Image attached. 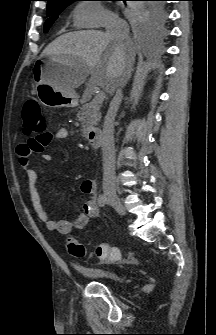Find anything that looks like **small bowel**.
Listing matches in <instances>:
<instances>
[{"label":"small bowel","mask_w":216,"mask_h":335,"mask_svg":"<svg viewBox=\"0 0 216 335\" xmlns=\"http://www.w3.org/2000/svg\"><path fill=\"white\" fill-rule=\"evenodd\" d=\"M68 137V130L65 127H60L55 133L50 134L46 144L50 141L66 140ZM17 154L20 164L26 173L30 203L39 220L42 221L50 231L67 235L73 229H84L91 219H95L99 216L100 208L96 198V183L93 179H85L81 184V191L85 194H89L90 198L84 203L83 212L76 215L72 220L52 219L49 213L45 210L38 191L39 174L36 170L30 167L33 150L29 144H22L18 146ZM42 158L46 162L52 160V156L48 153L43 154Z\"/></svg>","instance_id":"obj_1"}]
</instances>
